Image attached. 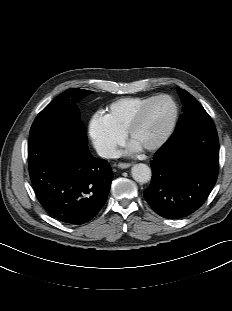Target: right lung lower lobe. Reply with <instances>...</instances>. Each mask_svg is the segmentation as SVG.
Wrapping results in <instances>:
<instances>
[{
    "label": "right lung lower lobe",
    "mask_w": 232,
    "mask_h": 311,
    "mask_svg": "<svg viewBox=\"0 0 232 311\" xmlns=\"http://www.w3.org/2000/svg\"><path fill=\"white\" fill-rule=\"evenodd\" d=\"M86 143L65 129L29 137V173L36 196L50 215L67 224L93 219L110 191L111 166L93 157Z\"/></svg>",
    "instance_id": "1"
}]
</instances>
